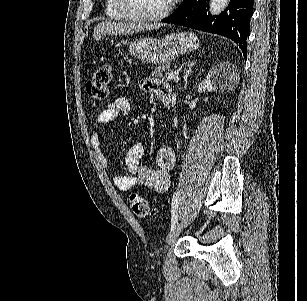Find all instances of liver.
<instances>
[{
	"mask_svg": "<svg viewBox=\"0 0 307 301\" xmlns=\"http://www.w3.org/2000/svg\"><path fill=\"white\" fill-rule=\"evenodd\" d=\"M160 22H115V20H102L98 22L94 28L93 38L100 40L102 36L107 34H134V32H141V30H155L160 28Z\"/></svg>",
	"mask_w": 307,
	"mask_h": 301,
	"instance_id": "1",
	"label": "liver"
}]
</instances>
